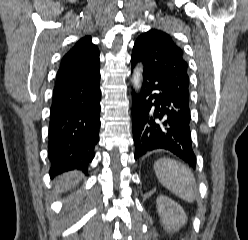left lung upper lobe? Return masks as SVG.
<instances>
[{
	"mask_svg": "<svg viewBox=\"0 0 248 240\" xmlns=\"http://www.w3.org/2000/svg\"><path fill=\"white\" fill-rule=\"evenodd\" d=\"M131 61L141 62L144 71L189 98L188 64L183 50L166 32L152 29L141 34L135 41Z\"/></svg>",
	"mask_w": 248,
	"mask_h": 240,
	"instance_id": "1",
	"label": "left lung upper lobe"
}]
</instances>
